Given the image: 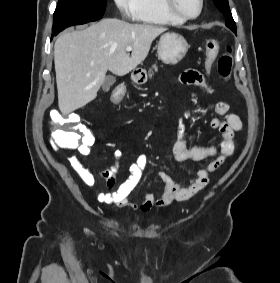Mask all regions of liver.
Instances as JSON below:
<instances>
[{
	"label": "liver",
	"mask_w": 280,
	"mask_h": 283,
	"mask_svg": "<svg viewBox=\"0 0 280 283\" xmlns=\"http://www.w3.org/2000/svg\"><path fill=\"white\" fill-rule=\"evenodd\" d=\"M167 28L108 18L86 29L63 33L54 45L58 105L67 115L93 101L106 72L123 76L147 57ZM131 46V56L126 47Z\"/></svg>",
	"instance_id": "6515ba94"
}]
</instances>
